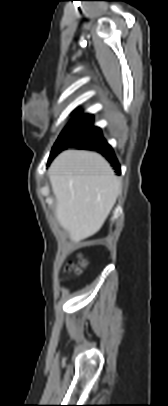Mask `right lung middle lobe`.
I'll list each match as a JSON object with an SVG mask.
<instances>
[{
    "label": "right lung middle lobe",
    "mask_w": 168,
    "mask_h": 406,
    "mask_svg": "<svg viewBox=\"0 0 168 406\" xmlns=\"http://www.w3.org/2000/svg\"><path fill=\"white\" fill-rule=\"evenodd\" d=\"M101 130L93 126V116L90 114H78L65 127L54 144L50 157H54L61 150L71 144L84 140L85 138L94 135Z\"/></svg>",
    "instance_id": "1"
}]
</instances>
